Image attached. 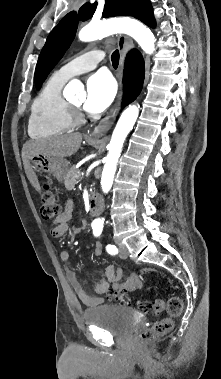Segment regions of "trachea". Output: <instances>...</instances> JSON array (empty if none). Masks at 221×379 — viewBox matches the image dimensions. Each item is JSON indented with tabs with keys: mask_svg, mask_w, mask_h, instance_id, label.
Returning a JSON list of instances; mask_svg holds the SVG:
<instances>
[{
	"mask_svg": "<svg viewBox=\"0 0 221 379\" xmlns=\"http://www.w3.org/2000/svg\"><path fill=\"white\" fill-rule=\"evenodd\" d=\"M111 60H112L113 67L116 69L118 67V64H119V51L118 50H115L112 53Z\"/></svg>",
	"mask_w": 221,
	"mask_h": 379,
	"instance_id": "3493384b",
	"label": "trachea"
}]
</instances>
